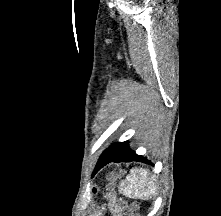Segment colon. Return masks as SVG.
<instances>
[{"mask_svg": "<svg viewBox=\"0 0 221 216\" xmlns=\"http://www.w3.org/2000/svg\"><path fill=\"white\" fill-rule=\"evenodd\" d=\"M124 214L126 216H138L137 214V205L136 204H130L124 206Z\"/></svg>", "mask_w": 221, "mask_h": 216, "instance_id": "5ec220e1", "label": "colon"}]
</instances>
